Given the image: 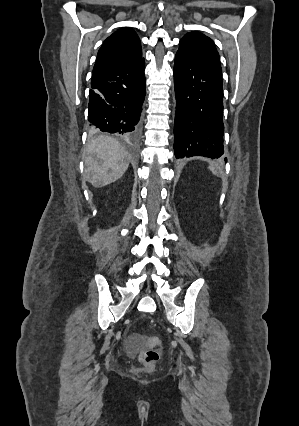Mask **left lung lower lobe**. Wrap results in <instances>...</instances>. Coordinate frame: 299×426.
<instances>
[{"instance_id":"left-lung-lower-lobe-1","label":"left lung lower lobe","mask_w":299,"mask_h":426,"mask_svg":"<svg viewBox=\"0 0 299 426\" xmlns=\"http://www.w3.org/2000/svg\"><path fill=\"white\" fill-rule=\"evenodd\" d=\"M222 83L221 73L204 58L181 49L177 51L174 65L176 158L223 155Z\"/></svg>"}]
</instances>
